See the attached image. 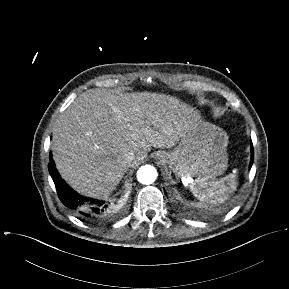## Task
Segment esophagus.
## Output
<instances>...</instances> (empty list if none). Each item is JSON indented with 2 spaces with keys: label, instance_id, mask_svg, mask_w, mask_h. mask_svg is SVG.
<instances>
[{
  "label": "esophagus",
  "instance_id": "1",
  "mask_svg": "<svg viewBox=\"0 0 289 289\" xmlns=\"http://www.w3.org/2000/svg\"><path fill=\"white\" fill-rule=\"evenodd\" d=\"M155 158H156V160H159L160 162L161 161L164 162V160H165V158H164V156L162 154H157Z\"/></svg>",
  "mask_w": 289,
  "mask_h": 289
}]
</instances>
